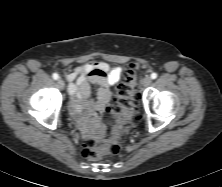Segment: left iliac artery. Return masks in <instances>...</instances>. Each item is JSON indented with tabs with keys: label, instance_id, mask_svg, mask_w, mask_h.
Listing matches in <instances>:
<instances>
[{
	"label": "left iliac artery",
	"instance_id": "1",
	"mask_svg": "<svg viewBox=\"0 0 222 187\" xmlns=\"http://www.w3.org/2000/svg\"><path fill=\"white\" fill-rule=\"evenodd\" d=\"M151 78H152V79H156V78H157V74H156V73H152V74H151Z\"/></svg>",
	"mask_w": 222,
	"mask_h": 187
}]
</instances>
